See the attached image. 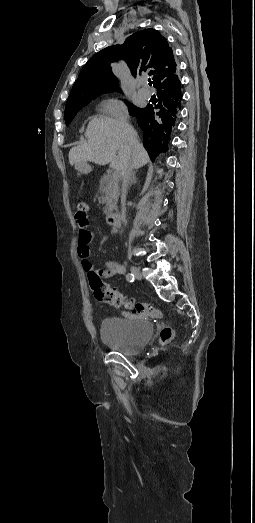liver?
<instances>
[{"instance_id": "obj_1", "label": "liver", "mask_w": 255, "mask_h": 523, "mask_svg": "<svg viewBox=\"0 0 255 523\" xmlns=\"http://www.w3.org/2000/svg\"><path fill=\"white\" fill-rule=\"evenodd\" d=\"M84 136L87 138L86 144L75 146L69 152V162L71 166L75 164L78 172H91L87 162H94L98 166L110 164V168L118 174L125 170L129 160L135 170L149 162L146 150L138 142L136 130L127 122L95 116L89 122Z\"/></svg>"}]
</instances>
